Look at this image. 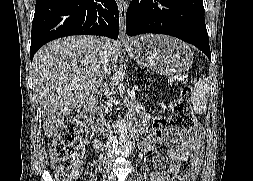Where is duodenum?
I'll list each match as a JSON object with an SVG mask.
<instances>
[{
  "mask_svg": "<svg viewBox=\"0 0 253 181\" xmlns=\"http://www.w3.org/2000/svg\"><path fill=\"white\" fill-rule=\"evenodd\" d=\"M98 100L97 95H91L86 98L79 106L78 113L84 118L90 125L91 130L95 133H107L109 129H105L104 123L100 120L97 110L96 103ZM129 131V130H128Z\"/></svg>",
  "mask_w": 253,
  "mask_h": 181,
  "instance_id": "obj_1",
  "label": "duodenum"
}]
</instances>
